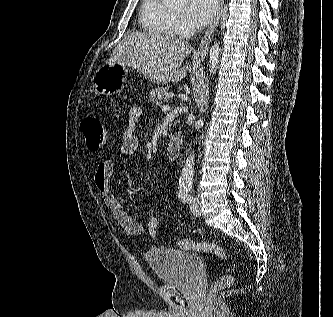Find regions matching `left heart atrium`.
Wrapping results in <instances>:
<instances>
[{"label":"left heart atrium","mask_w":333,"mask_h":317,"mask_svg":"<svg viewBox=\"0 0 333 317\" xmlns=\"http://www.w3.org/2000/svg\"><path fill=\"white\" fill-rule=\"evenodd\" d=\"M217 8V0H189L186 16L192 25L200 27L213 18Z\"/></svg>","instance_id":"1"}]
</instances>
